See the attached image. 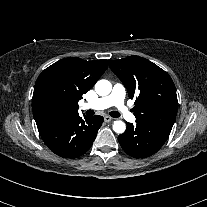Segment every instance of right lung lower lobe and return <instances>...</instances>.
<instances>
[{
  "label": "right lung lower lobe",
  "mask_w": 207,
  "mask_h": 207,
  "mask_svg": "<svg viewBox=\"0 0 207 207\" xmlns=\"http://www.w3.org/2000/svg\"><path fill=\"white\" fill-rule=\"evenodd\" d=\"M103 117L69 116L39 131L44 143L55 154L63 158H77L92 146Z\"/></svg>",
  "instance_id": "obj_1"
}]
</instances>
